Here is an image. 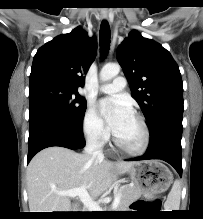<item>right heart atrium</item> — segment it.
<instances>
[{
  "label": "right heart atrium",
  "instance_id": "right-heart-atrium-1",
  "mask_svg": "<svg viewBox=\"0 0 203 219\" xmlns=\"http://www.w3.org/2000/svg\"><path fill=\"white\" fill-rule=\"evenodd\" d=\"M82 128L85 138L93 144L101 145L108 138L107 128L92 107H89L85 113Z\"/></svg>",
  "mask_w": 203,
  "mask_h": 219
}]
</instances>
